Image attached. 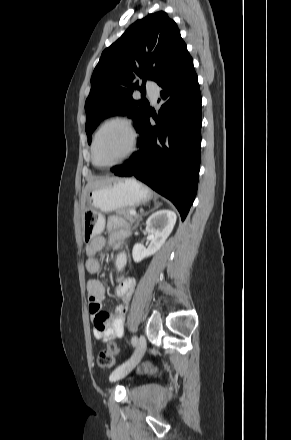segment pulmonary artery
I'll use <instances>...</instances> for the list:
<instances>
[{
    "mask_svg": "<svg viewBox=\"0 0 291 440\" xmlns=\"http://www.w3.org/2000/svg\"><path fill=\"white\" fill-rule=\"evenodd\" d=\"M147 89H148L149 96L151 97V99L153 101H155L158 98V96H159V89H158V87L154 83L148 82L147 83Z\"/></svg>",
    "mask_w": 291,
    "mask_h": 440,
    "instance_id": "e3ab8cb5",
    "label": "pulmonary artery"
}]
</instances>
